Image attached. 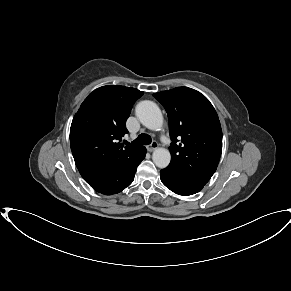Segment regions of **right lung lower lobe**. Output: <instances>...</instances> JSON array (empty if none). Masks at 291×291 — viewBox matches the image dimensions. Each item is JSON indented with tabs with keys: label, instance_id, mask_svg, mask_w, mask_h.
Listing matches in <instances>:
<instances>
[{
	"label": "right lung lower lobe",
	"instance_id": "98d812e1",
	"mask_svg": "<svg viewBox=\"0 0 291 291\" xmlns=\"http://www.w3.org/2000/svg\"><path fill=\"white\" fill-rule=\"evenodd\" d=\"M146 149L143 147L133 158L113 169L79 170L84 180L97 192L112 195L121 192L134 180L136 169L145 158Z\"/></svg>",
	"mask_w": 291,
	"mask_h": 291
}]
</instances>
